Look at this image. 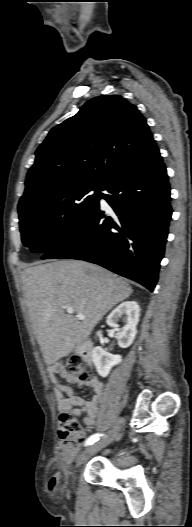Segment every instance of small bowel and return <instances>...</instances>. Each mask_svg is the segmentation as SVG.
I'll use <instances>...</instances> for the list:
<instances>
[{
    "label": "small bowel",
    "mask_w": 192,
    "mask_h": 527,
    "mask_svg": "<svg viewBox=\"0 0 192 527\" xmlns=\"http://www.w3.org/2000/svg\"><path fill=\"white\" fill-rule=\"evenodd\" d=\"M49 376L56 385L59 409L63 412L67 411L74 416L85 415L83 419L84 424L89 428L94 427L98 406L104 394L103 383L95 377L88 380H80L67 373L59 365H53L49 368ZM58 377L63 378L67 384L60 382ZM71 385L92 391L93 396L91 400L87 401L77 395Z\"/></svg>",
    "instance_id": "small-bowel-1"
}]
</instances>
